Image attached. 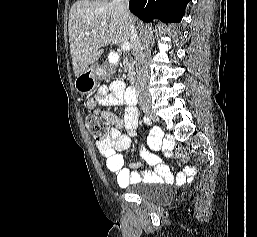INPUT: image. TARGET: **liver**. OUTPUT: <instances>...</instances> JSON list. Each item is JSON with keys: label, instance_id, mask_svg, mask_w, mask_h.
Here are the masks:
<instances>
[{"label": "liver", "instance_id": "obj_1", "mask_svg": "<svg viewBox=\"0 0 257 237\" xmlns=\"http://www.w3.org/2000/svg\"><path fill=\"white\" fill-rule=\"evenodd\" d=\"M135 23L128 11L108 2L79 0L69 12V43L75 76H79L103 54L110 43L128 42L129 24ZM95 30L96 33H92Z\"/></svg>", "mask_w": 257, "mask_h": 237}]
</instances>
